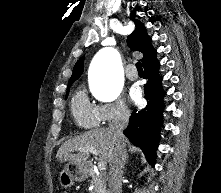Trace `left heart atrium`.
Here are the masks:
<instances>
[{
    "instance_id": "1",
    "label": "left heart atrium",
    "mask_w": 221,
    "mask_h": 193,
    "mask_svg": "<svg viewBox=\"0 0 221 193\" xmlns=\"http://www.w3.org/2000/svg\"><path fill=\"white\" fill-rule=\"evenodd\" d=\"M130 97L133 101L137 102L140 98L139 90L136 87H133L130 91Z\"/></svg>"
}]
</instances>
